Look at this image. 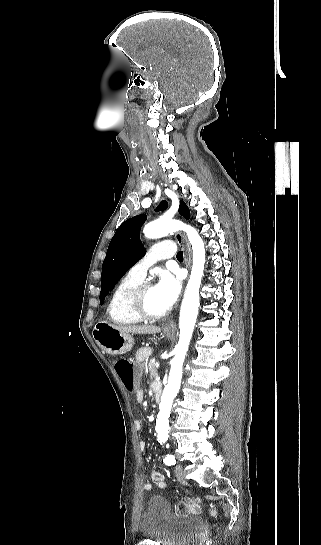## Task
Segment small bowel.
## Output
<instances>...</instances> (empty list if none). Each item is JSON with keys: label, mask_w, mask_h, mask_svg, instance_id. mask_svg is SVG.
I'll return each mask as SVG.
<instances>
[{"label": "small bowel", "mask_w": 321, "mask_h": 545, "mask_svg": "<svg viewBox=\"0 0 321 545\" xmlns=\"http://www.w3.org/2000/svg\"><path fill=\"white\" fill-rule=\"evenodd\" d=\"M136 400H137L139 403H141V402L144 400V393H143L142 390H138V391L136 392ZM135 428H136L138 431H140L141 428H142L141 422L136 421V422H135ZM139 448H140L141 451H144V450L146 449V443H145L144 441H141V442L139 443ZM151 479H152L153 482L156 483V485H157L158 488H161V489H162V488H164V487L166 486L164 476H163V474H162L161 472H159V471H156V470L152 471V472H151ZM143 488H144V490H146V491H150V490H152L153 485H152V483H150V482H146V483L144 484Z\"/></svg>", "instance_id": "small-bowel-1"}]
</instances>
